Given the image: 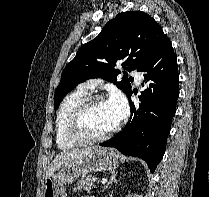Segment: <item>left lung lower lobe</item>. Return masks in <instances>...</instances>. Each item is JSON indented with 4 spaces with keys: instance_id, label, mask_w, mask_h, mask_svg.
Wrapping results in <instances>:
<instances>
[{
    "instance_id": "1",
    "label": "left lung lower lobe",
    "mask_w": 209,
    "mask_h": 197,
    "mask_svg": "<svg viewBox=\"0 0 209 197\" xmlns=\"http://www.w3.org/2000/svg\"><path fill=\"white\" fill-rule=\"evenodd\" d=\"M149 88L139 97L142 104L137 110L130 101L131 118L115 137L101 143L114 147L128 156L139 157L153 173L161 161L172 118L179 96L177 60L169 39H166L151 60L141 67ZM132 91L129 93L130 99Z\"/></svg>"
}]
</instances>
